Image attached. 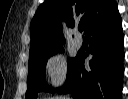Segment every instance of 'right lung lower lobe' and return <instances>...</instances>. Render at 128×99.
<instances>
[{"instance_id":"obj_1","label":"right lung lower lobe","mask_w":128,"mask_h":99,"mask_svg":"<svg viewBox=\"0 0 128 99\" xmlns=\"http://www.w3.org/2000/svg\"><path fill=\"white\" fill-rule=\"evenodd\" d=\"M89 51L79 52L59 94L71 93L75 99H121L123 89L122 20L117 4L86 32ZM92 54L90 68L85 58Z\"/></svg>"}]
</instances>
